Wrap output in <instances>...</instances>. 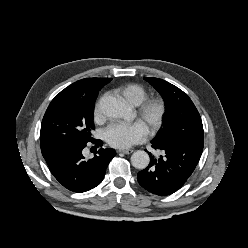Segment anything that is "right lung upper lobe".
<instances>
[{"mask_svg":"<svg viewBox=\"0 0 248 248\" xmlns=\"http://www.w3.org/2000/svg\"><path fill=\"white\" fill-rule=\"evenodd\" d=\"M111 78H86L79 80L62 90L55 98L63 96L81 97L85 99L97 98L99 90L109 83ZM51 150H43V157L48 155Z\"/></svg>","mask_w":248,"mask_h":248,"instance_id":"1","label":"right lung upper lobe"}]
</instances>
